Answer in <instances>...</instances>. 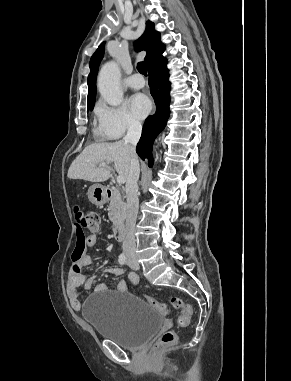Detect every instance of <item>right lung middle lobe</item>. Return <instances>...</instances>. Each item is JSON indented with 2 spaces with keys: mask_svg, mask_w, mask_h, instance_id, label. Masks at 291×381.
Instances as JSON below:
<instances>
[{
  "mask_svg": "<svg viewBox=\"0 0 291 381\" xmlns=\"http://www.w3.org/2000/svg\"><path fill=\"white\" fill-rule=\"evenodd\" d=\"M93 107H94V103H91V104L87 105V108L90 109V110H92Z\"/></svg>",
  "mask_w": 291,
  "mask_h": 381,
  "instance_id": "1",
  "label": "right lung middle lobe"
}]
</instances>
